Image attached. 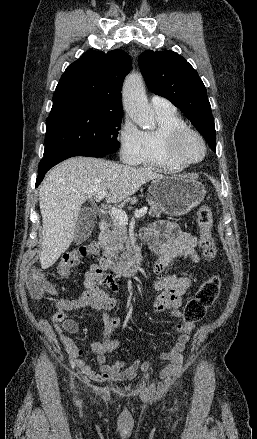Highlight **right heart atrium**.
Here are the masks:
<instances>
[{"label": "right heart atrium", "mask_w": 257, "mask_h": 439, "mask_svg": "<svg viewBox=\"0 0 257 439\" xmlns=\"http://www.w3.org/2000/svg\"><path fill=\"white\" fill-rule=\"evenodd\" d=\"M119 155L122 161L133 163L142 149V132L129 117H125L118 131Z\"/></svg>", "instance_id": "d8ad5b80"}]
</instances>
